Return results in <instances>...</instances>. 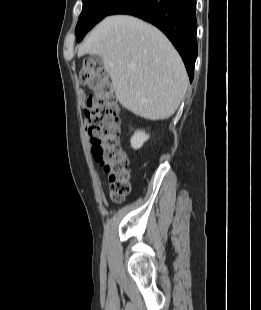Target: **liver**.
Here are the masks:
<instances>
[{"mask_svg": "<svg viewBox=\"0 0 261 310\" xmlns=\"http://www.w3.org/2000/svg\"><path fill=\"white\" fill-rule=\"evenodd\" d=\"M99 56L115 96L135 115L149 120L171 117L184 98L188 75L167 37L129 15L101 21L78 49V57Z\"/></svg>", "mask_w": 261, "mask_h": 310, "instance_id": "obj_1", "label": "liver"}]
</instances>
